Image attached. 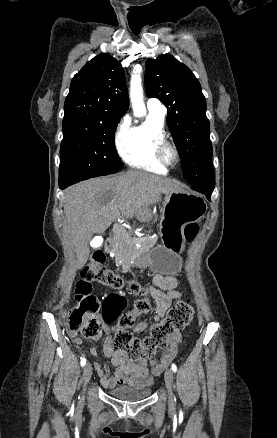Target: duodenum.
Masks as SVG:
<instances>
[{
    "label": "duodenum",
    "mask_w": 277,
    "mask_h": 438,
    "mask_svg": "<svg viewBox=\"0 0 277 438\" xmlns=\"http://www.w3.org/2000/svg\"><path fill=\"white\" fill-rule=\"evenodd\" d=\"M114 241L111 238H107L104 242V249L107 253H111L114 250Z\"/></svg>",
    "instance_id": "obj_1"
}]
</instances>
